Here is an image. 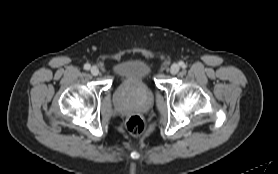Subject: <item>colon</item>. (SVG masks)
<instances>
[{
    "mask_svg": "<svg viewBox=\"0 0 278 174\" xmlns=\"http://www.w3.org/2000/svg\"><path fill=\"white\" fill-rule=\"evenodd\" d=\"M126 128L132 134L138 135L145 129V120L139 114L130 115L126 119Z\"/></svg>",
    "mask_w": 278,
    "mask_h": 174,
    "instance_id": "1",
    "label": "colon"
}]
</instances>
